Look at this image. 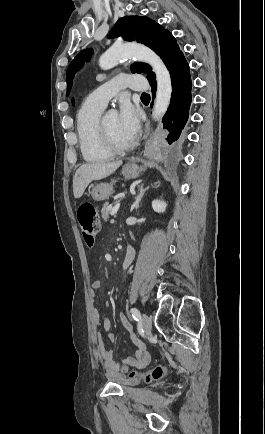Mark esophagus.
Segmentation results:
<instances>
[{
  "label": "esophagus",
  "mask_w": 265,
  "mask_h": 434,
  "mask_svg": "<svg viewBox=\"0 0 265 434\" xmlns=\"http://www.w3.org/2000/svg\"><path fill=\"white\" fill-rule=\"evenodd\" d=\"M150 133V124H149V120L146 121L145 123V129H144V134H143V139H147V137L149 136Z\"/></svg>",
  "instance_id": "obj_1"
}]
</instances>
